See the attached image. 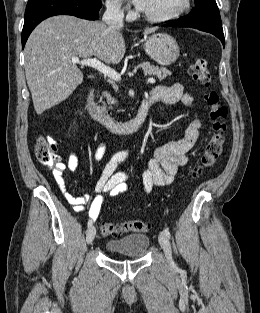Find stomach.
I'll return each mask as SVG.
<instances>
[{
  "instance_id": "1",
  "label": "stomach",
  "mask_w": 260,
  "mask_h": 313,
  "mask_svg": "<svg viewBox=\"0 0 260 313\" xmlns=\"http://www.w3.org/2000/svg\"><path fill=\"white\" fill-rule=\"evenodd\" d=\"M146 53L162 66L173 64L180 55L176 40L166 33H156L144 41Z\"/></svg>"
}]
</instances>
